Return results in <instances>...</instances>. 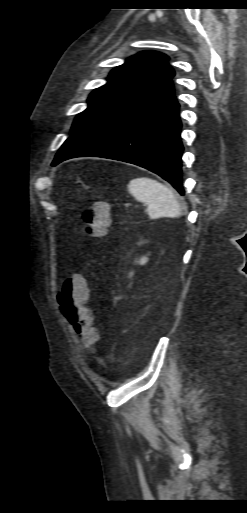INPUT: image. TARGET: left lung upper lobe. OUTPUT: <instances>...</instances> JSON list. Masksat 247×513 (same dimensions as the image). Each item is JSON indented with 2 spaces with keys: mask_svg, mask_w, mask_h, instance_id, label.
Masks as SVG:
<instances>
[{
  "mask_svg": "<svg viewBox=\"0 0 247 513\" xmlns=\"http://www.w3.org/2000/svg\"><path fill=\"white\" fill-rule=\"evenodd\" d=\"M167 60L162 53L143 51L113 69L107 84L90 94L89 106L75 118L71 134L171 80L175 72Z\"/></svg>",
  "mask_w": 247,
  "mask_h": 513,
  "instance_id": "1",
  "label": "left lung upper lobe"
}]
</instances>
